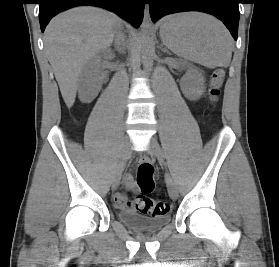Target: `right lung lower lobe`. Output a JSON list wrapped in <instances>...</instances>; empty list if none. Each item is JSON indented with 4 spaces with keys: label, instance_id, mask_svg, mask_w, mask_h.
<instances>
[{
    "label": "right lung lower lobe",
    "instance_id": "obj_1",
    "mask_svg": "<svg viewBox=\"0 0 279 267\" xmlns=\"http://www.w3.org/2000/svg\"><path fill=\"white\" fill-rule=\"evenodd\" d=\"M144 0H39V21L44 32L50 19L61 11L78 5H94L117 13L138 28L142 21Z\"/></svg>",
    "mask_w": 279,
    "mask_h": 267
}]
</instances>
